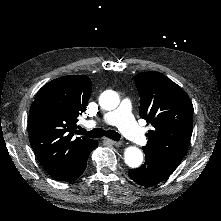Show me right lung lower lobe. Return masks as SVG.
<instances>
[{
	"mask_svg": "<svg viewBox=\"0 0 221 221\" xmlns=\"http://www.w3.org/2000/svg\"><path fill=\"white\" fill-rule=\"evenodd\" d=\"M98 146V142L95 141L93 143V146L91 149H89L80 159L78 162H76V164L70 168L68 171H66L63 175L54 178L58 181H73L75 179H77L78 177H80L82 175V173L84 172L86 165H87V159L88 156L90 154V152L96 148Z\"/></svg>",
	"mask_w": 221,
	"mask_h": 221,
	"instance_id": "1",
	"label": "right lung lower lobe"
}]
</instances>
